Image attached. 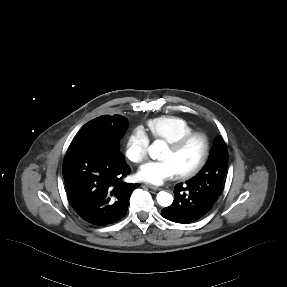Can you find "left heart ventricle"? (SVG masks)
<instances>
[{"label": "left heart ventricle", "mask_w": 287, "mask_h": 287, "mask_svg": "<svg viewBox=\"0 0 287 287\" xmlns=\"http://www.w3.org/2000/svg\"><path fill=\"white\" fill-rule=\"evenodd\" d=\"M202 153V143L200 140L192 141L179 153H174L167 147L162 160L171 161L178 173L185 171L194 166L199 160Z\"/></svg>", "instance_id": "b2bd125f"}]
</instances>
